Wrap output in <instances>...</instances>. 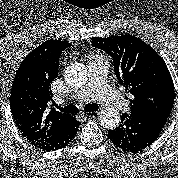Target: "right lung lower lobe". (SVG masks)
I'll return each mask as SVG.
<instances>
[{
    "mask_svg": "<svg viewBox=\"0 0 178 178\" xmlns=\"http://www.w3.org/2000/svg\"><path fill=\"white\" fill-rule=\"evenodd\" d=\"M79 125H80V122L76 121L73 127L68 132H66L64 135L60 136L59 138H57L51 144L41 149L45 151H54V150H58V149L65 147L67 144L71 142V140H73V138L77 134Z\"/></svg>",
    "mask_w": 178,
    "mask_h": 178,
    "instance_id": "98d812e1",
    "label": "right lung lower lobe"
}]
</instances>
